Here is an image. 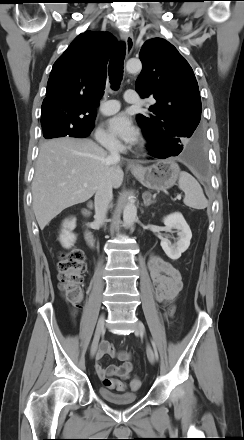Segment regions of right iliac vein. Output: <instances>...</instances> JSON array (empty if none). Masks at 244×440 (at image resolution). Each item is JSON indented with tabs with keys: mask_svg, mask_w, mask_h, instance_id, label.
Returning a JSON list of instances; mask_svg holds the SVG:
<instances>
[{
	"mask_svg": "<svg viewBox=\"0 0 244 440\" xmlns=\"http://www.w3.org/2000/svg\"><path fill=\"white\" fill-rule=\"evenodd\" d=\"M104 325H105V317L104 315H101L96 326L95 336L91 346V352H90L91 357H94L96 355L99 338L104 329Z\"/></svg>",
	"mask_w": 244,
	"mask_h": 440,
	"instance_id": "63e3f726",
	"label": "right iliac vein"
}]
</instances>
